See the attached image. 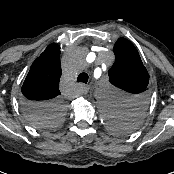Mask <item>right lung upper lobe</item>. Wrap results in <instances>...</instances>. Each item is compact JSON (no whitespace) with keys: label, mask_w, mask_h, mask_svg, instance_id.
Returning a JSON list of instances; mask_svg holds the SVG:
<instances>
[{"label":"right lung upper lobe","mask_w":174,"mask_h":174,"mask_svg":"<svg viewBox=\"0 0 174 174\" xmlns=\"http://www.w3.org/2000/svg\"><path fill=\"white\" fill-rule=\"evenodd\" d=\"M59 55L60 47L53 43L34 61L21 88L26 102L52 104L60 101L62 71Z\"/></svg>","instance_id":"obj_1"}]
</instances>
